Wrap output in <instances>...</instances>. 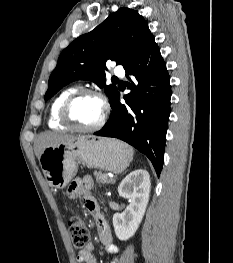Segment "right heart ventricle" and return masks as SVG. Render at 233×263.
<instances>
[{
    "instance_id": "right-heart-ventricle-1",
    "label": "right heart ventricle",
    "mask_w": 233,
    "mask_h": 263,
    "mask_svg": "<svg viewBox=\"0 0 233 263\" xmlns=\"http://www.w3.org/2000/svg\"><path fill=\"white\" fill-rule=\"evenodd\" d=\"M77 91L76 87H68L62 90L52 101L49 114H48V126L53 130H65L67 126L60 120V109L65 99Z\"/></svg>"
}]
</instances>
